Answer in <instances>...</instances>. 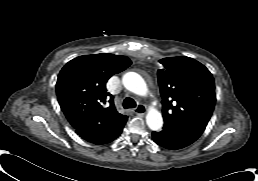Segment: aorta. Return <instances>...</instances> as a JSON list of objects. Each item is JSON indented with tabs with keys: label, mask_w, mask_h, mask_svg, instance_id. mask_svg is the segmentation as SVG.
Segmentation results:
<instances>
[{
	"label": "aorta",
	"mask_w": 258,
	"mask_h": 181,
	"mask_svg": "<svg viewBox=\"0 0 258 181\" xmlns=\"http://www.w3.org/2000/svg\"><path fill=\"white\" fill-rule=\"evenodd\" d=\"M122 82L124 87L140 96L147 93V85L144 79L135 72H127L123 75ZM146 123L151 130H160L163 126V118L161 113L156 109H150L146 115Z\"/></svg>",
	"instance_id": "aorta-1"
}]
</instances>
